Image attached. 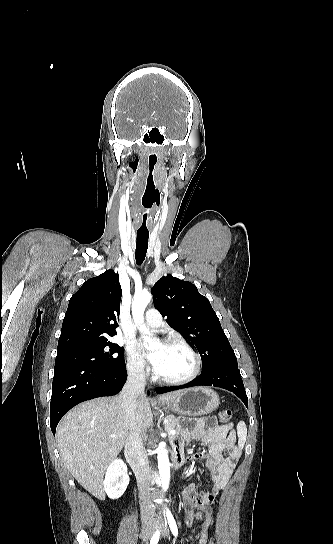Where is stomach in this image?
Wrapping results in <instances>:
<instances>
[{
  "label": "stomach",
  "mask_w": 333,
  "mask_h": 544,
  "mask_svg": "<svg viewBox=\"0 0 333 544\" xmlns=\"http://www.w3.org/2000/svg\"><path fill=\"white\" fill-rule=\"evenodd\" d=\"M219 404V396L215 391L206 387H196L179 394L170 408L179 414L195 417L213 412Z\"/></svg>",
  "instance_id": "stomach-1"
}]
</instances>
